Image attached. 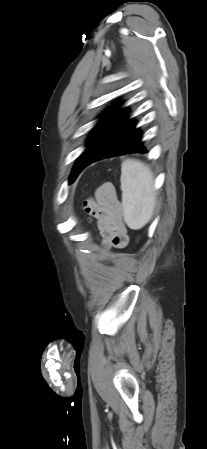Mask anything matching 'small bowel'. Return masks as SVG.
Listing matches in <instances>:
<instances>
[{
  "label": "small bowel",
  "mask_w": 207,
  "mask_h": 449,
  "mask_svg": "<svg viewBox=\"0 0 207 449\" xmlns=\"http://www.w3.org/2000/svg\"><path fill=\"white\" fill-rule=\"evenodd\" d=\"M84 209L96 220L104 247L124 248L128 244L129 237L123 221L122 206L111 183L101 185L95 193V198L85 202Z\"/></svg>",
  "instance_id": "c3829d8e"
}]
</instances>
